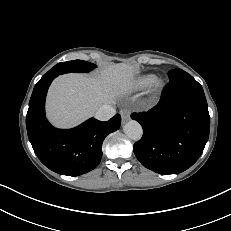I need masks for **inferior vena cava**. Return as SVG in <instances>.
Instances as JSON below:
<instances>
[{"label":"inferior vena cava","mask_w":231,"mask_h":231,"mask_svg":"<svg viewBox=\"0 0 231 231\" xmlns=\"http://www.w3.org/2000/svg\"><path fill=\"white\" fill-rule=\"evenodd\" d=\"M116 114L114 107L108 104L102 105L95 113V118L101 121H107Z\"/></svg>","instance_id":"1"}]
</instances>
